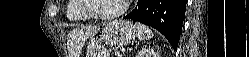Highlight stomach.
Masks as SVG:
<instances>
[{
	"label": "stomach",
	"mask_w": 249,
	"mask_h": 57,
	"mask_svg": "<svg viewBox=\"0 0 249 57\" xmlns=\"http://www.w3.org/2000/svg\"><path fill=\"white\" fill-rule=\"evenodd\" d=\"M137 33V28L131 21L115 20L108 23L99 37L90 39L86 57H108L105 44L126 46L137 37Z\"/></svg>",
	"instance_id": "stomach-1"
}]
</instances>
